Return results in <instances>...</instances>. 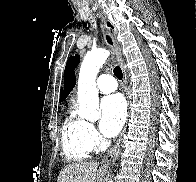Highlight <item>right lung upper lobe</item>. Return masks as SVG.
Segmentation results:
<instances>
[{
	"mask_svg": "<svg viewBox=\"0 0 196 182\" xmlns=\"http://www.w3.org/2000/svg\"><path fill=\"white\" fill-rule=\"evenodd\" d=\"M61 99H62V93H60V102H61Z\"/></svg>",
	"mask_w": 196,
	"mask_h": 182,
	"instance_id": "obj_1",
	"label": "right lung upper lobe"
}]
</instances>
